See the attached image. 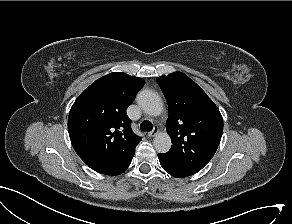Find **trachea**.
<instances>
[{"mask_svg": "<svg viewBox=\"0 0 292 224\" xmlns=\"http://www.w3.org/2000/svg\"><path fill=\"white\" fill-rule=\"evenodd\" d=\"M140 128L143 131H151L153 129V125L150 121L145 120L140 124Z\"/></svg>", "mask_w": 292, "mask_h": 224, "instance_id": "trachea-1", "label": "trachea"}]
</instances>
